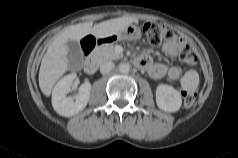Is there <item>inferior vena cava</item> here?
<instances>
[{
    "mask_svg": "<svg viewBox=\"0 0 238 158\" xmlns=\"http://www.w3.org/2000/svg\"><path fill=\"white\" fill-rule=\"evenodd\" d=\"M114 68V63L113 62H105L102 63L100 66V72L102 74H107L109 73L112 69Z\"/></svg>",
    "mask_w": 238,
    "mask_h": 158,
    "instance_id": "1",
    "label": "inferior vena cava"
}]
</instances>
